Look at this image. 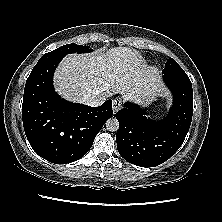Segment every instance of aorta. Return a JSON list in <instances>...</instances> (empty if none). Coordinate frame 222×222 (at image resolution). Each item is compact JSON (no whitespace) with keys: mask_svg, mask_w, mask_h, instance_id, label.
I'll list each match as a JSON object with an SVG mask.
<instances>
[{"mask_svg":"<svg viewBox=\"0 0 222 222\" xmlns=\"http://www.w3.org/2000/svg\"><path fill=\"white\" fill-rule=\"evenodd\" d=\"M106 128L108 131L115 132L119 129V122L116 118H110L106 121Z\"/></svg>","mask_w":222,"mask_h":222,"instance_id":"1","label":"aorta"}]
</instances>
